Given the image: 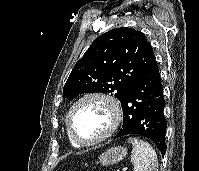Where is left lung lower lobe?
Instances as JSON below:
<instances>
[{
    "instance_id": "0a47b994",
    "label": "left lung lower lobe",
    "mask_w": 199,
    "mask_h": 171,
    "mask_svg": "<svg viewBox=\"0 0 199 171\" xmlns=\"http://www.w3.org/2000/svg\"><path fill=\"white\" fill-rule=\"evenodd\" d=\"M121 103L123 125L115 138L130 134L150 138L164 155L167 121L163 113L165 100L155 59L129 88Z\"/></svg>"
}]
</instances>
